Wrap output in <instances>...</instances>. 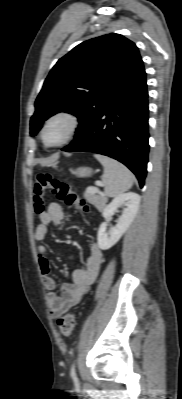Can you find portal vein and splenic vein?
<instances>
[{
    "instance_id": "portal-vein-and-splenic-vein-1",
    "label": "portal vein and splenic vein",
    "mask_w": 182,
    "mask_h": 399,
    "mask_svg": "<svg viewBox=\"0 0 182 399\" xmlns=\"http://www.w3.org/2000/svg\"><path fill=\"white\" fill-rule=\"evenodd\" d=\"M98 191V189L97 188H91V189H88V192H97Z\"/></svg>"
}]
</instances>
